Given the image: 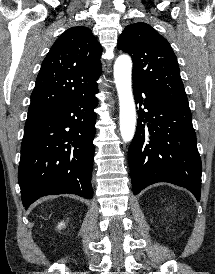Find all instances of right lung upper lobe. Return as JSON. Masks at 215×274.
Segmentation results:
<instances>
[{
    "label": "right lung upper lobe",
    "instance_id": "1",
    "mask_svg": "<svg viewBox=\"0 0 215 274\" xmlns=\"http://www.w3.org/2000/svg\"><path fill=\"white\" fill-rule=\"evenodd\" d=\"M101 53L89 28L67 29L41 65L28 113H48L91 90L101 74Z\"/></svg>",
    "mask_w": 215,
    "mask_h": 274
}]
</instances>
